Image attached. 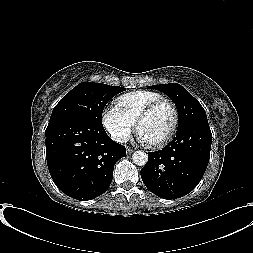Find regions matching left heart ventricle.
Wrapping results in <instances>:
<instances>
[{
	"mask_svg": "<svg viewBox=\"0 0 253 253\" xmlns=\"http://www.w3.org/2000/svg\"><path fill=\"white\" fill-rule=\"evenodd\" d=\"M173 124V112L169 105L156 108L140 125L139 131L148 142L156 143L163 139Z\"/></svg>",
	"mask_w": 253,
	"mask_h": 253,
	"instance_id": "left-heart-ventricle-1",
	"label": "left heart ventricle"
}]
</instances>
